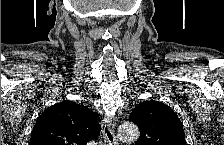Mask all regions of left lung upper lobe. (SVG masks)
I'll use <instances>...</instances> for the list:
<instances>
[{"label": "left lung upper lobe", "mask_w": 224, "mask_h": 145, "mask_svg": "<svg viewBox=\"0 0 224 145\" xmlns=\"http://www.w3.org/2000/svg\"><path fill=\"white\" fill-rule=\"evenodd\" d=\"M140 130L136 145H186L185 134L176 113L164 103L144 101L130 116Z\"/></svg>", "instance_id": "obj_1"}]
</instances>
